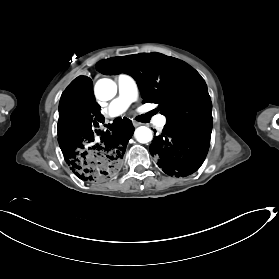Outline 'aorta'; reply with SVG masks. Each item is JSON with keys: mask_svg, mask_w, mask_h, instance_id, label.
<instances>
[{"mask_svg": "<svg viewBox=\"0 0 279 279\" xmlns=\"http://www.w3.org/2000/svg\"><path fill=\"white\" fill-rule=\"evenodd\" d=\"M95 95L99 100L108 101L117 93L116 83L108 78H103L97 81ZM135 137L140 143H148L152 139V132L148 127L140 126L135 130Z\"/></svg>", "mask_w": 279, "mask_h": 279, "instance_id": "762f6f07", "label": "aorta"}]
</instances>
